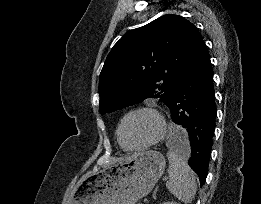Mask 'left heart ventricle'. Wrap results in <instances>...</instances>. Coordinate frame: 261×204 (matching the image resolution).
<instances>
[{
    "instance_id": "b2bd125f",
    "label": "left heart ventricle",
    "mask_w": 261,
    "mask_h": 204,
    "mask_svg": "<svg viewBox=\"0 0 261 204\" xmlns=\"http://www.w3.org/2000/svg\"><path fill=\"white\" fill-rule=\"evenodd\" d=\"M158 130L154 117L142 113L130 117L122 129V139L126 145H141L153 138Z\"/></svg>"
}]
</instances>
